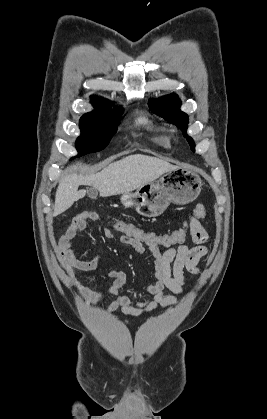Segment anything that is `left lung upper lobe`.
<instances>
[{
  "mask_svg": "<svg viewBox=\"0 0 267 419\" xmlns=\"http://www.w3.org/2000/svg\"><path fill=\"white\" fill-rule=\"evenodd\" d=\"M148 104L152 112L179 127L183 131L184 136L187 137L191 150L195 151L193 139L186 135L188 116L180 110L181 100L179 97L175 94H170L156 100H149Z\"/></svg>",
  "mask_w": 267,
  "mask_h": 419,
  "instance_id": "left-lung-upper-lobe-1",
  "label": "left lung upper lobe"
}]
</instances>
